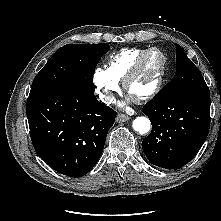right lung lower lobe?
<instances>
[{"mask_svg": "<svg viewBox=\"0 0 221 221\" xmlns=\"http://www.w3.org/2000/svg\"><path fill=\"white\" fill-rule=\"evenodd\" d=\"M26 113L37 154L70 177H81L95 166L117 114L94 91L80 88L29 95Z\"/></svg>", "mask_w": 221, "mask_h": 221, "instance_id": "98d812e1", "label": "right lung lower lobe"}]
</instances>
